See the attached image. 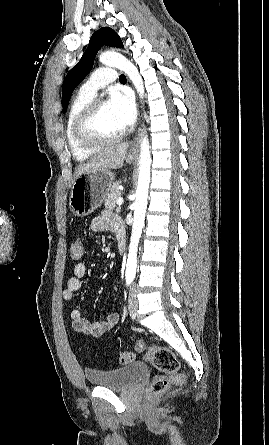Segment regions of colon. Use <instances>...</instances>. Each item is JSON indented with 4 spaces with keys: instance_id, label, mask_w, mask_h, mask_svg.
Listing matches in <instances>:
<instances>
[{
    "instance_id": "obj_1",
    "label": "colon",
    "mask_w": 269,
    "mask_h": 445,
    "mask_svg": "<svg viewBox=\"0 0 269 445\" xmlns=\"http://www.w3.org/2000/svg\"><path fill=\"white\" fill-rule=\"evenodd\" d=\"M84 244L80 240H76L71 244L70 256L73 260H79L83 256ZM137 349L145 351V358L159 372L149 386L150 395H158L166 391L173 383H181L184 376L179 372L180 363L175 354L164 346H151L146 349L143 341L137 342ZM122 364H128L135 360L133 352H124L119 358Z\"/></svg>"
}]
</instances>
